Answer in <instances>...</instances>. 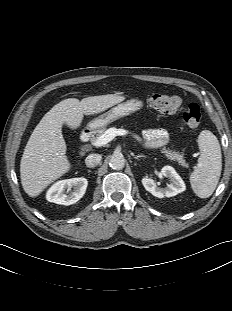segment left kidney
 I'll return each mask as SVG.
<instances>
[{"label": "left kidney", "instance_id": "left-kidney-1", "mask_svg": "<svg viewBox=\"0 0 232 311\" xmlns=\"http://www.w3.org/2000/svg\"><path fill=\"white\" fill-rule=\"evenodd\" d=\"M161 173L170 179V184L165 188H159L152 178L144 177L142 179L144 188L153 196L158 198L172 197L186 190L184 181L173 167L164 166Z\"/></svg>", "mask_w": 232, "mask_h": 311}]
</instances>
